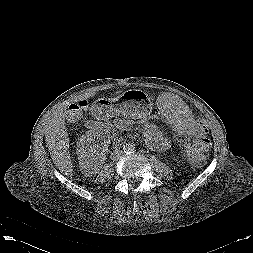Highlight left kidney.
Masks as SVG:
<instances>
[{"mask_svg":"<svg viewBox=\"0 0 253 253\" xmlns=\"http://www.w3.org/2000/svg\"><path fill=\"white\" fill-rule=\"evenodd\" d=\"M145 141L154 149H159L167 145V139L163 133L154 124L147 123L143 128Z\"/></svg>","mask_w":253,"mask_h":253,"instance_id":"left-kidney-1","label":"left kidney"}]
</instances>
